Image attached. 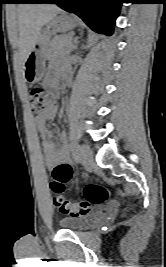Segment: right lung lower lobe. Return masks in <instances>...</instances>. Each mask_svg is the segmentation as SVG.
I'll list each match as a JSON object with an SVG mask.
<instances>
[{"label": "right lung lower lobe", "mask_w": 166, "mask_h": 267, "mask_svg": "<svg viewBox=\"0 0 166 267\" xmlns=\"http://www.w3.org/2000/svg\"><path fill=\"white\" fill-rule=\"evenodd\" d=\"M43 0H26V3H40Z\"/></svg>", "instance_id": "obj_1"}]
</instances>
